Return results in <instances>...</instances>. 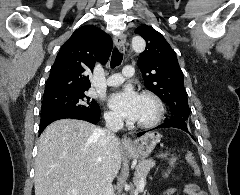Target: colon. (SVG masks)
Segmentation results:
<instances>
[{"mask_svg": "<svg viewBox=\"0 0 240 195\" xmlns=\"http://www.w3.org/2000/svg\"><path fill=\"white\" fill-rule=\"evenodd\" d=\"M177 155L172 152L167 153L163 152L162 153V162L168 164V172H173V159H176ZM186 161H188V163L190 162V168L193 169V173L197 174L198 173V162L194 161V158L191 157V154H186ZM196 195H204L203 192H198V190H196Z\"/></svg>", "mask_w": 240, "mask_h": 195, "instance_id": "5ec220e1", "label": "colon"}]
</instances>
